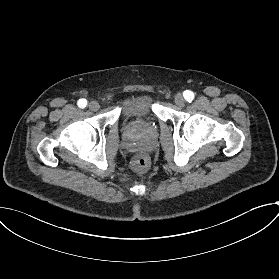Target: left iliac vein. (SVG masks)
I'll use <instances>...</instances> for the list:
<instances>
[{
    "instance_id": "left-iliac-vein-1",
    "label": "left iliac vein",
    "mask_w": 279,
    "mask_h": 279,
    "mask_svg": "<svg viewBox=\"0 0 279 279\" xmlns=\"http://www.w3.org/2000/svg\"><path fill=\"white\" fill-rule=\"evenodd\" d=\"M174 101L178 107H183L185 105V99H184L183 95L180 93L176 94Z\"/></svg>"
}]
</instances>
